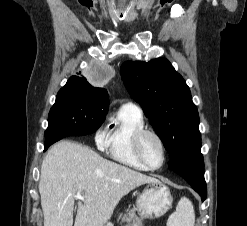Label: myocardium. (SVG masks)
<instances>
[{
    "label": "myocardium",
    "mask_w": 247,
    "mask_h": 226,
    "mask_svg": "<svg viewBox=\"0 0 247 226\" xmlns=\"http://www.w3.org/2000/svg\"><path fill=\"white\" fill-rule=\"evenodd\" d=\"M146 135H152L157 139V141L160 144L161 150H162V161L158 166H151L144 158L142 151H141V141L144 136ZM132 146H133V152L137 160L145 166L148 170H158L160 169L166 162L167 159V150H166V145L165 142L162 138V136L156 132L155 130L148 129V128H142L138 130L132 140Z\"/></svg>",
    "instance_id": "obj_1"
}]
</instances>
